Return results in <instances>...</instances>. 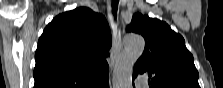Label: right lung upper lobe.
Instances as JSON below:
<instances>
[{"label": "right lung upper lobe", "mask_w": 223, "mask_h": 88, "mask_svg": "<svg viewBox=\"0 0 223 88\" xmlns=\"http://www.w3.org/2000/svg\"><path fill=\"white\" fill-rule=\"evenodd\" d=\"M111 45L103 15L79 7L56 16L38 41L34 88H95L108 78Z\"/></svg>", "instance_id": "right-lung-upper-lobe-1"}]
</instances>
